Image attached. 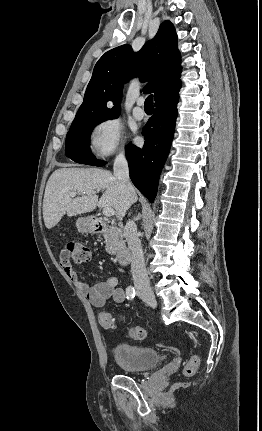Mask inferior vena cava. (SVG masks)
I'll list each match as a JSON object with an SVG mask.
<instances>
[{"label": "inferior vena cava", "mask_w": 262, "mask_h": 431, "mask_svg": "<svg viewBox=\"0 0 262 431\" xmlns=\"http://www.w3.org/2000/svg\"><path fill=\"white\" fill-rule=\"evenodd\" d=\"M114 176L121 181L124 190L130 194L134 188L129 179V167L123 152L119 153L114 161ZM124 236L128 243V248L131 253V270L133 275L134 285L137 290L151 291L150 281L145 267L141 242L137 235L136 224L129 220L124 228Z\"/></svg>", "instance_id": "inferior-vena-cava-1"}]
</instances>
